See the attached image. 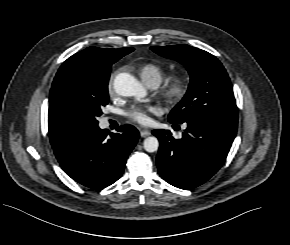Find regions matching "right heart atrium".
Returning a JSON list of instances; mask_svg holds the SVG:
<instances>
[{
  "label": "right heart atrium",
  "instance_id": "obj_1",
  "mask_svg": "<svg viewBox=\"0 0 290 245\" xmlns=\"http://www.w3.org/2000/svg\"><path fill=\"white\" fill-rule=\"evenodd\" d=\"M108 91L110 94H114L115 93V89H114V76L111 77L109 84H108Z\"/></svg>",
  "mask_w": 290,
  "mask_h": 245
}]
</instances>
